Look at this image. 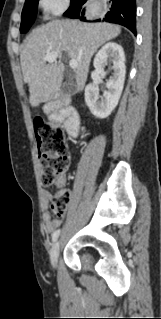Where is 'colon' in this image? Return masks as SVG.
Listing matches in <instances>:
<instances>
[{
    "label": "colon",
    "instance_id": "5ec220e1",
    "mask_svg": "<svg viewBox=\"0 0 161 319\" xmlns=\"http://www.w3.org/2000/svg\"><path fill=\"white\" fill-rule=\"evenodd\" d=\"M35 132L41 183L45 187H51L67 168L68 148L63 140V132L59 124L46 123L37 119ZM70 200V193L65 189H59L51 199L52 210L58 215L64 214Z\"/></svg>",
    "mask_w": 161,
    "mask_h": 319
}]
</instances>
